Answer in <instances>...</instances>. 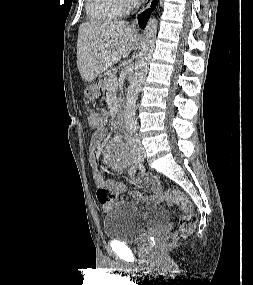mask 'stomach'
<instances>
[{
	"label": "stomach",
	"instance_id": "0dacf381",
	"mask_svg": "<svg viewBox=\"0 0 253 285\" xmlns=\"http://www.w3.org/2000/svg\"><path fill=\"white\" fill-rule=\"evenodd\" d=\"M84 95L89 100H95L100 96V86L98 84H91L84 90Z\"/></svg>",
	"mask_w": 253,
	"mask_h": 285
}]
</instances>
